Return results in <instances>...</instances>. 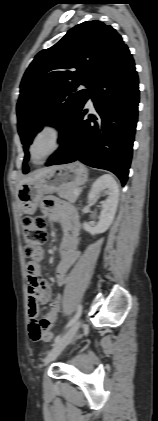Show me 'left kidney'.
Wrapping results in <instances>:
<instances>
[{
    "instance_id": "5707ae66",
    "label": "left kidney",
    "mask_w": 158,
    "mask_h": 421,
    "mask_svg": "<svg viewBox=\"0 0 158 421\" xmlns=\"http://www.w3.org/2000/svg\"><path fill=\"white\" fill-rule=\"evenodd\" d=\"M105 189L104 194L107 199L102 202V211L100 213L99 222L92 227L87 222L83 224V229L91 235L104 233L112 224L118 205L119 186L115 179L110 175H103L98 178L92 185L88 194V200L96 202L100 191Z\"/></svg>"
}]
</instances>
